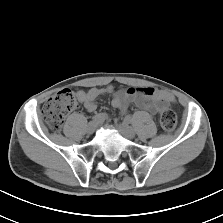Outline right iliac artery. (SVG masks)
Returning <instances> with one entry per match:
<instances>
[{
	"instance_id": "1",
	"label": "right iliac artery",
	"mask_w": 223,
	"mask_h": 223,
	"mask_svg": "<svg viewBox=\"0 0 223 223\" xmlns=\"http://www.w3.org/2000/svg\"><path fill=\"white\" fill-rule=\"evenodd\" d=\"M92 120H93V122H97V121H102L103 118L101 117L100 114H98V115H95V116L92 118Z\"/></svg>"
}]
</instances>
